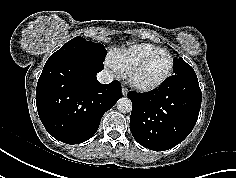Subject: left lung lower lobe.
I'll use <instances>...</instances> for the list:
<instances>
[{
    "label": "left lung lower lobe",
    "instance_id": "obj_1",
    "mask_svg": "<svg viewBox=\"0 0 236 178\" xmlns=\"http://www.w3.org/2000/svg\"><path fill=\"white\" fill-rule=\"evenodd\" d=\"M133 107L130 130L142 146L171 149L194 128L201 107L197 76L173 75L158 89L145 94L129 92Z\"/></svg>",
    "mask_w": 236,
    "mask_h": 178
}]
</instances>
